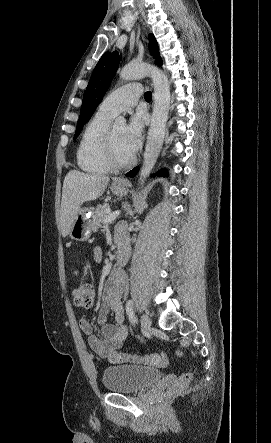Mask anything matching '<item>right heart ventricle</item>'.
I'll list each match as a JSON object with an SVG mask.
<instances>
[{
	"instance_id": "e07e8e85",
	"label": "right heart ventricle",
	"mask_w": 271,
	"mask_h": 443,
	"mask_svg": "<svg viewBox=\"0 0 271 443\" xmlns=\"http://www.w3.org/2000/svg\"><path fill=\"white\" fill-rule=\"evenodd\" d=\"M112 116L97 111L87 122L76 152L81 170L89 174H104L112 169L105 143Z\"/></svg>"
}]
</instances>
